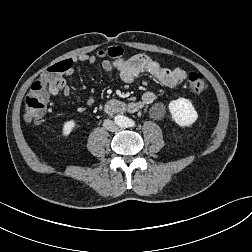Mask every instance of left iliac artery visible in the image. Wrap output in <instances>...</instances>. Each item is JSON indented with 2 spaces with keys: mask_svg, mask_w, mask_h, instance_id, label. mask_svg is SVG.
Instances as JSON below:
<instances>
[{
  "mask_svg": "<svg viewBox=\"0 0 252 252\" xmlns=\"http://www.w3.org/2000/svg\"><path fill=\"white\" fill-rule=\"evenodd\" d=\"M134 125H135V123L132 121V122H131V126H134Z\"/></svg>",
  "mask_w": 252,
  "mask_h": 252,
  "instance_id": "1",
  "label": "left iliac artery"
}]
</instances>
